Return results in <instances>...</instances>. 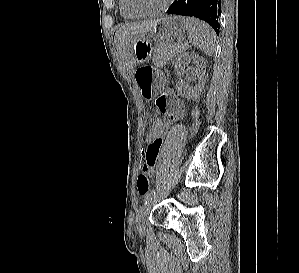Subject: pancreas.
<instances>
[{
  "label": "pancreas",
  "mask_w": 299,
  "mask_h": 273,
  "mask_svg": "<svg viewBox=\"0 0 299 273\" xmlns=\"http://www.w3.org/2000/svg\"><path fill=\"white\" fill-rule=\"evenodd\" d=\"M185 50L183 43H159L153 50L152 61L155 66H163L173 57Z\"/></svg>",
  "instance_id": "cf45deb5"
}]
</instances>
